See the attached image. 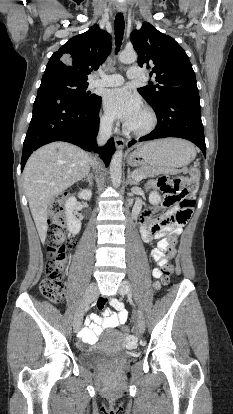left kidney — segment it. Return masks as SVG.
Wrapping results in <instances>:
<instances>
[{
	"label": "left kidney",
	"instance_id": "5707ae66",
	"mask_svg": "<svg viewBox=\"0 0 233 414\" xmlns=\"http://www.w3.org/2000/svg\"><path fill=\"white\" fill-rule=\"evenodd\" d=\"M149 202L152 205H158L161 202V197L157 192H151L149 195Z\"/></svg>",
	"mask_w": 233,
	"mask_h": 414
}]
</instances>
